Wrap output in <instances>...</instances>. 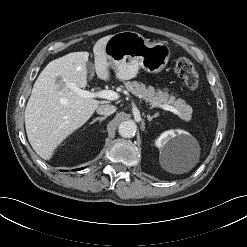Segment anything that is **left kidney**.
Masks as SVG:
<instances>
[{
	"label": "left kidney",
	"instance_id": "1",
	"mask_svg": "<svg viewBox=\"0 0 247 247\" xmlns=\"http://www.w3.org/2000/svg\"><path fill=\"white\" fill-rule=\"evenodd\" d=\"M193 142L194 139L186 131L168 130L161 134L155 141V145L168 159L178 163L185 161L184 153L188 151Z\"/></svg>",
	"mask_w": 247,
	"mask_h": 247
}]
</instances>
